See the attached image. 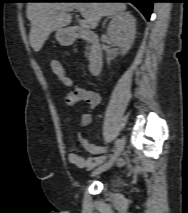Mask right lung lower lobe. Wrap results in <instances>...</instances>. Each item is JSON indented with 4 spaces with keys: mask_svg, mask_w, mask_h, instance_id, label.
I'll list each match as a JSON object with an SVG mask.
<instances>
[{
    "mask_svg": "<svg viewBox=\"0 0 188 213\" xmlns=\"http://www.w3.org/2000/svg\"><path fill=\"white\" fill-rule=\"evenodd\" d=\"M31 1H43V0H31ZM105 1V0H102ZM112 1H121V2H131L133 3L149 20L152 13V4L154 0H112Z\"/></svg>",
    "mask_w": 188,
    "mask_h": 213,
    "instance_id": "right-lung-lower-lobe-1",
    "label": "right lung lower lobe"
}]
</instances>
